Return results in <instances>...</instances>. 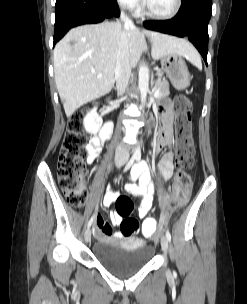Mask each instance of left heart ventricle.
Instances as JSON below:
<instances>
[{"label": "left heart ventricle", "mask_w": 247, "mask_h": 304, "mask_svg": "<svg viewBox=\"0 0 247 304\" xmlns=\"http://www.w3.org/2000/svg\"><path fill=\"white\" fill-rule=\"evenodd\" d=\"M149 8L157 14L169 13L175 5V0H147Z\"/></svg>", "instance_id": "left-heart-ventricle-1"}]
</instances>
